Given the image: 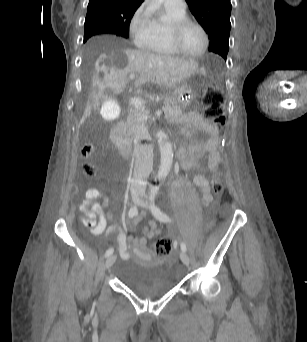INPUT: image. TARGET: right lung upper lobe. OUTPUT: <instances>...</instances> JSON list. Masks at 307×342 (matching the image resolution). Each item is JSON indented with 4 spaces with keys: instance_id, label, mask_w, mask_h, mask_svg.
I'll list each match as a JSON object with an SVG mask.
<instances>
[{
    "instance_id": "obj_1",
    "label": "right lung upper lobe",
    "mask_w": 307,
    "mask_h": 342,
    "mask_svg": "<svg viewBox=\"0 0 307 342\" xmlns=\"http://www.w3.org/2000/svg\"><path fill=\"white\" fill-rule=\"evenodd\" d=\"M144 0H89L87 17L108 29L129 31L131 18Z\"/></svg>"
}]
</instances>
